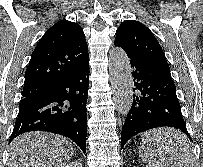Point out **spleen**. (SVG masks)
Returning <instances> with one entry per match:
<instances>
[{
    "label": "spleen",
    "instance_id": "1",
    "mask_svg": "<svg viewBox=\"0 0 203 167\" xmlns=\"http://www.w3.org/2000/svg\"><path fill=\"white\" fill-rule=\"evenodd\" d=\"M177 145L184 146L183 153H179L172 148ZM163 151L165 157L158 158L156 149L148 144L145 137L142 138V146L139 152L143 160L148 159L147 167H192L193 155L190 149V143L183 134L178 133L172 141L168 142ZM181 161L185 164L182 166H172V164H179Z\"/></svg>",
    "mask_w": 203,
    "mask_h": 167
}]
</instances>
